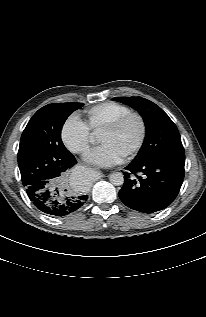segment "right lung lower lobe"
Here are the masks:
<instances>
[{"label":"right lung lower lobe","mask_w":206,"mask_h":317,"mask_svg":"<svg viewBox=\"0 0 206 317\" xmlns=\"http://www.w3.org/2000/svg\"><path fill=\"white\" fill-rule=\"evenodd\" d=\"M61 163L49 173L36 175L24 181L26 193L32 203L42 212L53 216H67L81 208L88 196L68 191L65 184L54 183L56 175L67 171L77 163L71 154L69 158L59 160Z\"/></svg>","instance_id":"right-lung-lower-lobe-1"}]
</instances>
